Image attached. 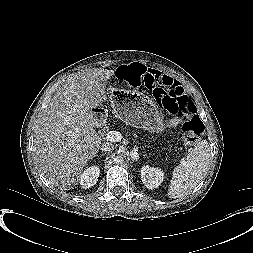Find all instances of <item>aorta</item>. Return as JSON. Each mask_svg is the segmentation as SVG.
Returning <instances> with one entry per match:
<instances>
[{
  "label": "aorta",
  "mask_w": 253,
  "mask_h": 253,
  "mask_svg": "<svg viewBox=\"0 0 253 253\" xmlns=\"http://www.w3.org/2000/svg\"><path fill=\"white\" fill-rule=\"evenodd\" d=\"M123 157L121 156V155H117L115 158H114V162L116 163V164H121V163H123Z\"/></svg>",
  "instance_id": "762f6f07"
}]
</instances>
